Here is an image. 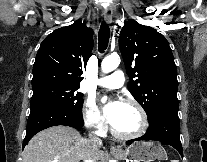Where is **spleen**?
<instances>
[{
    "label": "spleen",
    "instance_id": "3e777b00",
    "mask_svg": "<svg viewBox=\"0 0 207 162\" xmlns=\"http://www.w3.org/2000/svg\"><path fill=\"white\" fill-rule=\"evenodd\" d=\"M171 162H179L178 160H172Z\"/></svg>",
    "mask_w": 207,
    "mask_h": 162
}]
</instances>
